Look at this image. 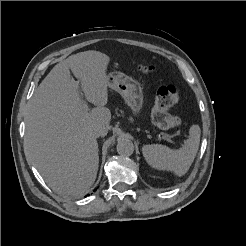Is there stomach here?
<instances>
[{
    "label": "stomach",
    "mask_w": 246,
    "mask_h": 246,
    "mask_svg": "<svg viewBox=\"0 0 246 246\" xmlns=\"http://www.w3.org/2000/svg\"><path fill=\"white\" fill-rule=\"evenodd\" d=\"M107 76L108 86L122 96L134 115H138L143 107V92L139 83L121 72H111Z\"/></svg>",
    "instance_id": "obj_1"
}]
</instances>
